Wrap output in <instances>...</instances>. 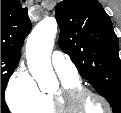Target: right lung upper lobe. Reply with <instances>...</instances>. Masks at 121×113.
<instances>
[{
  "instance_id": "obj_1",
  "label": "right lung upper lobe",
  "mask_w": 121,
  "mask_h": 113,
  "mask_svg": "<svg viewBox=\"0 0 121 113\" xmlns=\"http://www.w3.org/2000/svg\"><path fill=\"white\" fill-rule=\"evenodd\" d=\"M31 26L27 8H22L17 0H1V54L20 58Z\"/></svg>"
}]
</instances>
